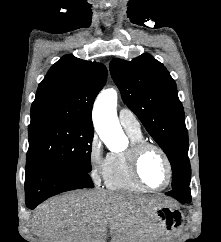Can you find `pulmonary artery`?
Segmentation results:
<instances>
[{"label": "pulmonary artery", "instance_id": "obj_1", "mask_svg": "<svg viewBox=\"0 0 221 242\" xmlns=\"http://www.w3.org/2000/svg\"><path fill=\"white\" fill-rule=\"evenodd\" d=\"M120 124L127 130L133 132H140V123L133 114V112L127 108H121L118 113Z\"/></svg>", "mask_w": 221, "mask_h": 242}]
</instances>
